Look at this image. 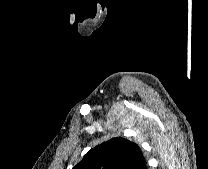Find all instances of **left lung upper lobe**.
Segmentation results:
<instances>
[{
	"mask_svg": "<svg viewBox=\"0 0 208 169\" xmlns=\"http://www.w3.org/2000/svg\"><path fill=\"white\" fill-rule=\"evenodd\" d=\"M139 146L116 137L92 148L73 169H145Z\"/></svg>",
	"mask_w": 208,
	"mask_h": 169,
	"instance_id": "left-lung-upper-lobe-1",
	"label": "left lung upper lobe"
}]
</instances>
